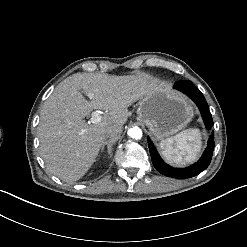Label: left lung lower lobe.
<instances>
[{
    "instance_id": "obj_1",
    "label": "left lung lower lobe",
    "mask_w": 247,
    "mask_h": 247,
    "mask_svg": "<svg viewBox=\"0 0 247 247\" xmlns=\"http://www.w3.org/2000/svg\"><path fill=\"white\" fill-rule=\"evenodd\" d=\"M174 88L187 94V96H189L196 103V105L198 106L201 112L206 127L210 129L213 125V119L210 114L209 107L205 100V97L200 92V90L191 81H178L174 84ZM213 136H214V132L211 133V136L208 140V146L205 149L199 161L187 168H173L167 165L161 159L153 143L148 138V145H149L152 163L158 172L169 177L181 179V178H190L196 176L199 173H201L203 170H205L211 162L212 154L215 146Z\"/></svg>"
}]
</instances>
